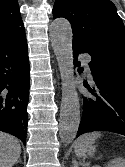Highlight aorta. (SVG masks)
I'll return each mask as SVG.
<instances>
[{
	"instance_id": "obj_1",
	"label": "aorta",
	"mask_w": 125,
	"mask_h": 167,
	"mask_svg": "<svg viewBox=\"0 0 125 167\" xmlns=\"http://www.w3.org/2000/svg\"><path fill=\"white\" fill-rule=\"evenodd\" d=\"M72 36L71 25L66 19L58 18L51 23V44L62 79L59 135L65 145L74 140L80 124V99L74 83Z\"/></svg>"
}]
</instances>
